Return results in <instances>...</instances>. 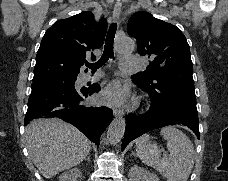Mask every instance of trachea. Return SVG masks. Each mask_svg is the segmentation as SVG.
<instances>
[{"label":"trachea","mask_w":228,"mask_h":181,"mask_svg":"<svg viewBox=\"0 0 228 181\" xmlns=\"http://www.w3.org/2000/svg\"><path fill=\"white\" fill-rule=\"evenodd\" d=\"M116 29H117V24L112 23L107 32L105 47L101 58L96 63H92V64L86 63V66L88 68H91V70L95 71L97 68H100L103 65H105V63L109 60V58H114L113 43H114Z\"/></svg>","instance_id":"obj_1"}]
</instances>
